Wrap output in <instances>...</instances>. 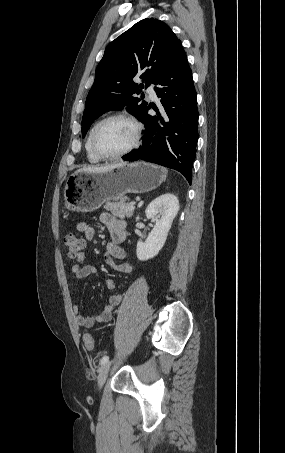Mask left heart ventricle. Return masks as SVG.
Listing matches in <instances>:
<instances>
[{
  "mask_svg": "<svg viewBox=\"0 0 285 453\" xmlns=\"http://www.w3.org/2000/svg\"><path fill=\"white\" fill-rule=\"evenodd\" d=\"M135 136L133 125L125 119L106 122L97 135V146L105 154H115L129 147Z\"/></svg>",
  "mask_w": 285,
  "mask_h": 453,
  "instance_id": "1",
  "label": "left heart ventricle"
}]
</instances>
